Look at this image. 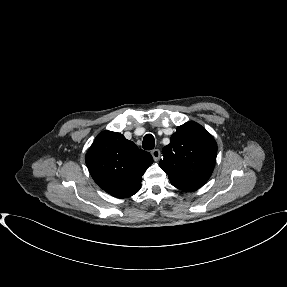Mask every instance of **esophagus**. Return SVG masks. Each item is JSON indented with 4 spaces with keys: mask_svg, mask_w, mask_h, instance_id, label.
<instances>
[{
    "mask_svg": "<svg viewBox=\"0 0 287 287\" xmlns=\"http://www.w3.org/2000/svg\"><path fill=\"white\" fill-rule=\"evenodd\" d=\"M151 155L155 161H158L160 158V151L158 149H154L152 150Z\"/></svg>",
    "mask_w": 287,
    "mask_h": 287,
    "instance_id": "esophagus-1",
    "label": "esophagus"
}]
</instances>
